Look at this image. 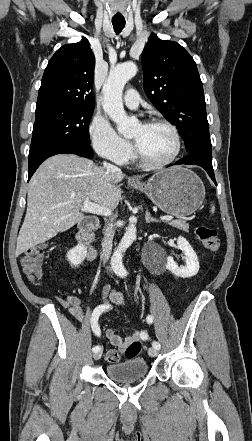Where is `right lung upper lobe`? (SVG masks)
Wrapping results in <instances>:
<instances>
[{"label": "right lung upper lobe", "mask_w": 252, "mask_h": 441, "mask_svg": "<svg viewBox=\"0 0 252 441\" xmlns=\"http://www.w3.org/2000/svg\"><path fill=\"white\" fill-rule=\"evenodd\" d=\"M95 57L86 39L56 51L42 77L36 107L61 104L94 107Z\"/></svg>", "instance_id": "right-lung-upper-lobe-1"}]
</instances>
